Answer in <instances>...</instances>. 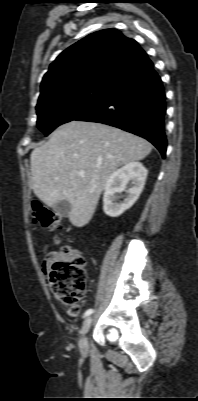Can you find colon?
<instances>
[{
    "mask_svg": "<svg viewBox=\"0 0 198 401\" xmlns=\"http://www.w3.org/2000/svg\"><path fill=\"white\" fill-rule=\"evenodd\" d=\"M32 207L34 223H40L48 231L61 228L60 214L43 206L40 202H34ZM54 243H58V239H55ZM59 250L65 255L71 252L68 246H61ZM86 278L85 260L81 256L56 261L52 266L49 278L51 290L61 303L69 306V313L72 316L79 314L78 305L85 298Z\"/></svg>",
    "mask_w": 198,
    "mask_h": 401,
    "instance_id": "1",
    "label": "colon"
}]
</instances>
